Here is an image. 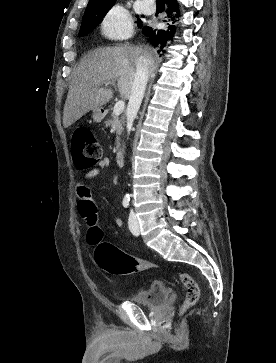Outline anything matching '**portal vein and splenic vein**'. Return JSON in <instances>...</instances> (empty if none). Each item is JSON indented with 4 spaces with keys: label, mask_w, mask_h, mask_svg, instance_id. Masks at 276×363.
<instances>
[{
    "label": "portal vein and splenic vein",
    "mask_w": 276,
    "mask_h": 363,
    "mask_svg": "<svg viewBox=\"0 0 276 363\" xmlns=\"http://www.w3.org/2000/svg\"><path fill=\"white\" fill-rule=\"evenodd\" d=\"M109 85V83H105V86H108ZM124 107H125V103H124V101H118L115 105H114V110H113V112H114V114L116 115V116H119L122 112H123V110H124Z\"/></svg>",
    "instance_id": "obj_1"
}]
</instances>
